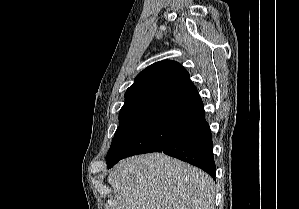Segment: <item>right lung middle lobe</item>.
Returning <instances> with one entry per match:
<instances>
[{
	"label": "right lung middle lobe",
	"instance_id": "obj_1",
	"mask_svg": "<svg viewBox=\"0 0 299 209\" xmlns=\"http://www.w3.org/2000/svg\"><path fill=\"white\" fill-rule=\"evenodd\" d=\"M159 104L145 102L123 106L119 113V127L114 135L106 161L113 159L138 132Z\"/></svg>",
	"mask_w": 299,
	"mask_h": 209
}]
</instances>
